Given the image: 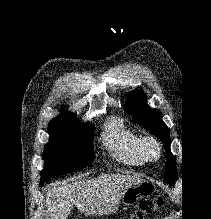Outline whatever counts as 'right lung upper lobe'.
<instances>
[{"label": "right lung upper lobe", "mask_w": 211, "mask_h": 219, "mask_svg": "<svg viewBox=\"0 0 211 219\" xmlns=\"http://www.w3.org/2000/svg\"><path fill=\"white\" fill-rule=\"evenodd\" d=\"M61 111L62 113L59 116L55 117L54 120L75 118V116L72 113L64 109H62Z\"/></svg>", "instance_id": "1"}]
</instances>
